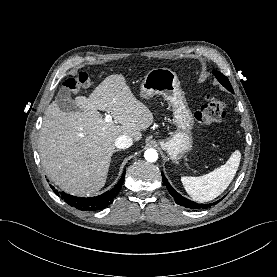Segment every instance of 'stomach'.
I'll return each mask as SVG.
<instances>
[{"mask_svg":"<svg viewBox=\"0 0 277 277\" xmlns=\"http://www.w3.org/2000/svg\"><path fill=\"white\" fill-rule=\"evenodd\" d=\"M161 95L172 107L173 123L177 130L161 140L160 145L173 162L180 160L192 148L194 118L181 90L177 75L167 68L148 72L141 83V96L150 98Z\"/></svg>","mask_w":277,"mask_h":277,"instance_id":"stomach-1","label":"stomach"}]
</instances>
